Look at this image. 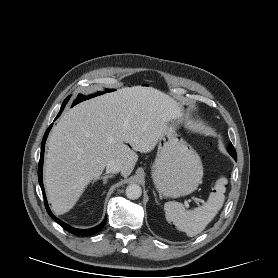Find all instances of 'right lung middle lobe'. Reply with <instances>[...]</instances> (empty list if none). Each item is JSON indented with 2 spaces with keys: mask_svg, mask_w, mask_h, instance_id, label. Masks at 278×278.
Returning <instances> with one entry per match:
<instances>
[{
  "mask_svg": "<svg viewBox=\"0 0 278 278\" xmlns=\"http://www.w3.org/2000/svg\"><path fill=\"white\" fill-rule=\"evenodd\" d=\"M68 100H69V97H68V98H66L64 102H65V103H67V101H68Z\"/></svg>",
  "mask_w": 278,
  "mask_h": 278,
  "instance_id": "dd1d6c3e",
  "label": "right lung middle lobe"
}]
</instances>
